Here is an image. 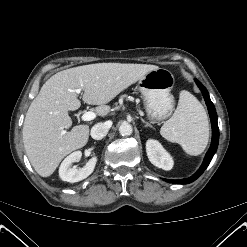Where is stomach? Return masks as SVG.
<instances>
[{"instance_id": "0dacf381", "label": "stomach", "mask_w": 247, "mask_h": 247, "mask_svg": "<svg viewBox=\"0 0 247 247\" xmlns=\"http://www.w3.org/2000/svg\"><path fill=\"white\" fill-rule=\"evenodd\" d=\"M137 86L143 95L144 107L152 122L160 123L171 116L175 105L171 94L174 76L169 70H152L138 81Z\"/></svg>"}]
</instances>
